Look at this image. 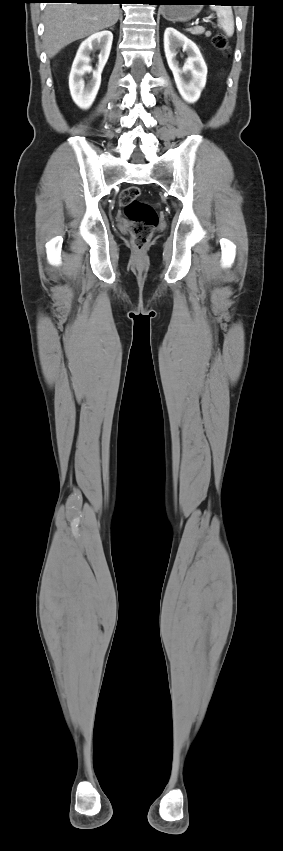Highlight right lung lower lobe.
Wrapping results in <instances>:
<instances>
[{
    "instance_id": "98d812e1",
    "label": "right lung lower lobe",
    "mask_w": 283,
    "mask_h": 851,
    "mask_svg": "<svg viewBox=\"0 0 283 851\" xmlns=\"http://www.w3.org/2000/svg\"><path fill=\"white\" fill-rule=\"evenodd\" d=\"M128 0H44L48 3L68 2L78 4H122Z\"/></svg>"
}]
</instances>
